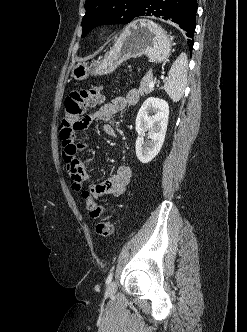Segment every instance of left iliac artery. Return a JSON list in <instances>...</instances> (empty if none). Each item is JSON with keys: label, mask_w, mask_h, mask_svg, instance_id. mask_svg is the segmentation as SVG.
Listing matches in <instances>:
<instances>
[{"label": "left iliac artery", "mask_w": 247, "mask_h": 332, "mask_svg": "<svg viewBox=\"0 0 247 332\" xmlns=\"http://www.w3.org/2000/svg\"><path fill=\"white\" fill-rule=\"evenodd\" d=\"M112 277H113V269L111 270L110 274L108 275V277L106 279L107 284H109L112 281Z\"/></svg>", "instance_id": "44dca946"}]
</instances>
